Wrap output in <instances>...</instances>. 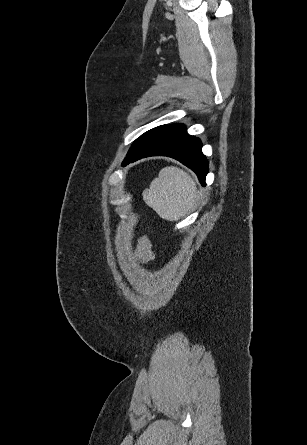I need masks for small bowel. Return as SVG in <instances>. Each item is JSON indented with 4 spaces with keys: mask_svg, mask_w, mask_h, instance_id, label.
I'll return each instance as SVG.
<instances>
[{
    "mask_svg": "<svg viewBox=\"0 0 307 445\" xmlns=\"http://www.w3.org/2000/svg\"><path fill=\"white\" fill-rule=\"evenodd\" d=\"M136 255L142 262H148L155 257L152 250V244L148 238L142 237L139 240Z\"/></svg>",
    "mask_w": 307,
    "mask_h": 445,
    "instance_id": "small-bowel-1",
    "label": "small bowel"
}]
</instances>
